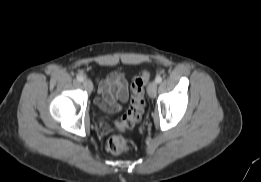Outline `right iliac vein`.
<instances>
[{
	"label": "right iliac vein",
	"mask_w": 261,
	"mask_h": 182,
	"mask_svg": "<svg viewBox=\"0 0 261 182\" xmlns=\"http://www.w3.org/2000/svg\"><path fill=\"white\" fill-rule=\"evenodd\" d=\"M83 86L89 92H91L93 90V84L89 79H85L83 81Z\"/></svg>",
	"instance_id": "right-iliac-vein-1"
}]
</instances>
